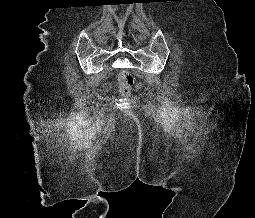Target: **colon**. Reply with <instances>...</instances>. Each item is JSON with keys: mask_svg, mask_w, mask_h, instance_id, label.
Returning a JSON list of instances; mask_svg holds the SVG:
<instances>
[{"mask_svg": "<svg viewBox=\"0 0 255 218\" xmlns=\"http://www.w3.org/2000/svg\"><path fill=\"white\" fill-rule=\"evenodd\" d=\"M119 87L122 93L127 94L134 87L135 79L129 70L123 69L119 72Z\"/></svg>", "mask_w": 255, "mask_h": 218, "instance_id": "5ec220e1", "label": "colon"}]
</instances>
